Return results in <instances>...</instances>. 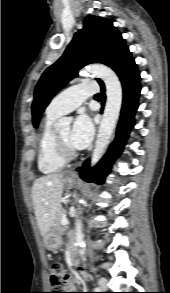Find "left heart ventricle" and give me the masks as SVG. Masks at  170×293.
Returning a JSON list of instances; mask_svg holds the SVG:
<instances>
[{"instance_id":"obj_1","label":"left heart ventricle","mask_w":170,"mask_h":293,"mask_svg":"<svg viewBox=\"0 0 170 293\" xmlns=\"http://www.w3.org/2000/svg\"><path fill=\"white\" fill-rule=\"evenodd\" d=\"M59 138L61 141L69 148H72L70 142H69V137H70V128H62L57 131Z\"/></svg>"}]
</instances>
